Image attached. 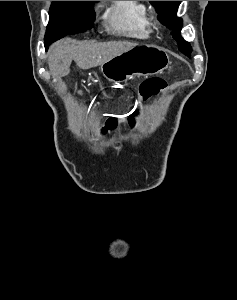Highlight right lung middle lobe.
<instances>
[{"label": "right lung middle lobe", "mask_w": 237, "mask_h": 300, "mask_svg": "<svg viewBox=\"0 0 237 300\" xmlns=\"http://www.w3.org/2000/svg\"><path fill=\"white\" fill-rule=\"evenodd\" d=\"M95 2L98 1H53L44 38L46 50L51 43L68 34L91 29L95 19Z\"/></svg>", "instance_id": "1"}]
</instances>
